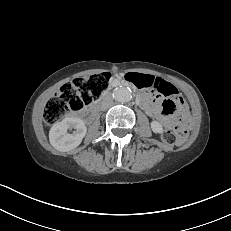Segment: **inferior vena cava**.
Returning a JSON list of instances; mask_svg holds the SVG:
<instances>
[{
	"mask_svg": "<svg viewBox=\"0 0 231 231\" xmlns=\"http://www.w3.org/2000/svg\"><path fill=\"white\" fill-rule=\"evenodd\" d=\"M112 103H113V98L111 96H106L102 101L101 109L105 110L111 107Z\"/></svg>",
	"mask_w": 231,
	"mask_h": 231,
	"instance_id": "602c4592",
	"label": "inferior vena cava"
}]
</instances>
